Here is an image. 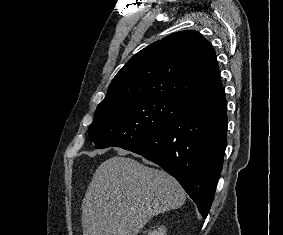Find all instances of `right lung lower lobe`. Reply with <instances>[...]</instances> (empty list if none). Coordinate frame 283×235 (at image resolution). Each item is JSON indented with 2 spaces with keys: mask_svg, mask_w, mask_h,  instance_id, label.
Masks as SVG:
<instances>
[{
  "mask_svg": "<svg viewBox=\"0 0 283 235\" xmlns=\"http://www.w3.org/2000/svg\"><path fill=\"white\" fill-rule=\"evenodd\" d=\"M223 86L187 99L161 131L125 146L175 177L203 217L214 199L227 144Z\"/></svg>",
  "mask_w": 283,
  "mask_h": 235,
  "instance_id": "98d812e1",
  "label": "right lung lower lobe"
}]
</instances>
